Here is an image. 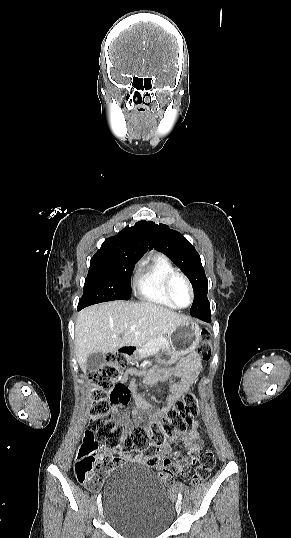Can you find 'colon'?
I'll return each instance as SVG.
<instances>
[{"instance_id": "5ec220e1", "label": "colon", "mask_w": 291, "mask_h": 538, "mask_svg": "<svg viewBox=\"0 0 291 538\" xmlns=\"http://www.w3.org/2000/svg\"><path fill=\"white\" fill-rule=\"evenodd\" d=\"M198 355L202 360H208L211 356L209 344L201 345ZM127 363L128 358L122 352L111 353L91 376L90 423L74 462L77 480L89 489L99 488L111 470L119 465L115 456L117 451L121 454L143 453L153 444L161 448L160 454L152 456L146 464L160 471V478L166 485L172 484L176 471L170 459L163 457L166 440L184 432L199 410L197 397L186 392L160 420L152 422L148 427L134 426L126 434L110 417L109 411L111 404L125 406L130 400L129 388L118 382ZM214 466L213 452L204 450L200 454L191 485L196 487L206 481Z\"/></svg>"}]
</instances>
